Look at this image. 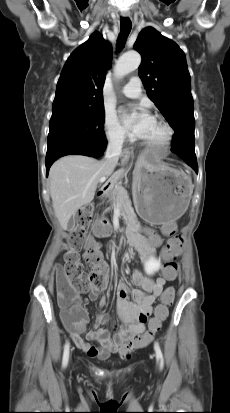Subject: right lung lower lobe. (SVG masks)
<instances>
[{
	"label": "right lung lower lobe",
	"instance_id": "obj_1",
	"mask_svg": "<svg viewBox=\"0 0 230 413\" xmlns=\"http://www.w3.org/2000/svg\"><path fill=\"white\" fill-rule=\"evenodd\" d=\"M107 141L102 144H73L64 145L46 154V171L47 175L49 169L54 161L65 155H85L91 157H100L105 151Z\"/></svg>",
	"mask_w": 230,
	"mask_h": 413
}]
</instances>
